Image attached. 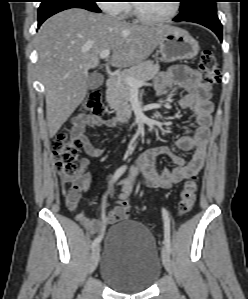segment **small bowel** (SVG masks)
I'll use <instances>...</instances> for the list:
<instances>
[{
  "mask_svg": "<svg viewBox=\"0 0 248 299\" xmlns=\"http://www.w3.org/2000/svg\"><path fill=\"white\" fill-rule=\"evenodd\" d=\"M174 86L184 90V94L179 100V106L182 109L191 110L197 123V127L192 134L177 139L176 147L180 151H193V154L188 161H184L163 145L147 149L140 155L131 176L122 183V190L119 194L121 202L128 199L132 191V183L138 175H142L146 186L168 189L197 175L204 166L213 112L209 88L203 82L202 75L198 70L181 66L173 67L170 71L158 75L155 84L156 95L160 98L164 97ZM102 126L113 127L114 120H103L99 116L87 115H79L73 120L70 134L81 138L84 152L88 157L102 158L105 155L102 148L95 146L84 136L86 128ZM160 155L170 156L175 167L172 170L157 171L156 158ZM87 165V159H82L81 167L86 168ZM82 180L84 189L88 190L90 177L86 175ZM119 209L120 205L116 206L111 212L104 215L101 220L91 219L82 212L76 214V219L88 232L92 233L102 225L113 224L122 220L123 217L120 215Z\"/></svg>",
  "mask_w": 248,
  "mask_h": 299,
  "instance_id": "1",
  "label": "small bowel"
}]
</instances>
